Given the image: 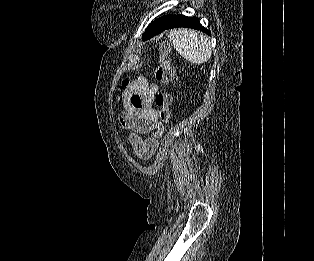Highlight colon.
Listing matches in <instances>:
<instances>
[{
	"label": "colon",
	"mask_w": 314,
	"mask_h": 261,
	"mask_svg": "<svg viewBox=\"0 0 314 261\" xmlns=\"http://www.w3.org/2000/svg\"><path fill=\"white\" fill-rule=\"evenodd\" d=\"M168 45L163 43L159 47V59L154 71V78L162 85H168L174 79L175 71L169 60L167 59ZM155 103L159 109V119L167 123L170 119L169 107L171 103V95L162 91L156 94Z\"/></svg>",
	"instance_id": "colon-1"
}]
</instances>
